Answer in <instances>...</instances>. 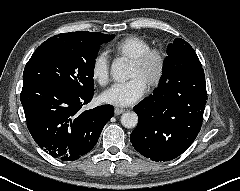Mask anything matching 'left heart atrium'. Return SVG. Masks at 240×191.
Here are the masks:
<instances>
[{"mask_svg":"<svg viewBox=\"0 0 240 191\" xmlns=\"http://www.w3.org/2000/svg\"><path fill=\"white\" fill-rule=\"evenodd\" d=\"M146 86L137 77H133L124 83H116L105 90L101 99L114 106H128L139 101L145 94Z\"/></svg>","mask_w":240,"mask_h":191,"instance_id":"1","label":"left heart atrium"}]
</instances>
